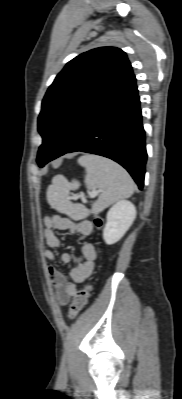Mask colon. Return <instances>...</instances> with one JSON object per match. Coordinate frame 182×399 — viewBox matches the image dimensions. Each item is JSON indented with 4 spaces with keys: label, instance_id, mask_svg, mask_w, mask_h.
I'll list each match as a JSON object with an SVG mask.
<instances>
[{
    "label": "colon",
    "instance_id": "5ec220e1",
    "mask_svg": "<svg viewBox=\"0 0 182 399\" xmlns=\"http://www.w3.org/2000/svg\"><path fill=\"white\" fill-rule=\"evenodd\" d=\"M94 223L96 226L101 227L103 224V221H102V219L96 217L94 219ZM90 290H91V285L87 284L77 292V294L69 308L68 315L70 318L76 317L82 311V309L85 307V305L87 304V301H88Z\"/></svg>",
    "mask_w": 182,
    "mask_h": 399
}]
</instances>
